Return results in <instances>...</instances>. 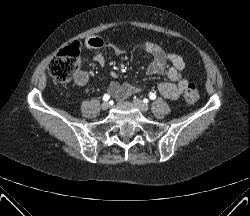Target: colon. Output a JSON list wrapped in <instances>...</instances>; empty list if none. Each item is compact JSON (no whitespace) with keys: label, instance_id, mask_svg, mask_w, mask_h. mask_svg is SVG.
<instances>
[{"label":"colon","instance_id":"5ec220e1","mask_svg":"<svg viewBox=\"0 0 250 216\" xmlns=\"http://www.w3.org/2000/svg\"><path fill=\"white\" fill-rule=\"evenodd\" d=\"M80 67L79 44H71L55 56L49 66L50 75L59 82H67L73 78ZM199 99L198 89L195 84L190 83L184 92V100L195 103Z\"/></svg>","mask_w":250,"mask_h":216}]
</instances>
